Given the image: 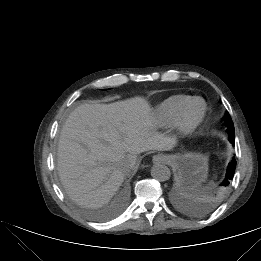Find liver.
Returning a JSON list of instances; mask_svg holds the SVG:
<instances>
[{"label": "liver", "instance_id": "1", "mask_svg": "<svg viewBox=\"0 0 261 261\" xmlns=\"http://www.w3.org/2000/svg\"><path fill=\"white\" fill-rule=\"evenodd\" d=\"M170 147V139L155 131L150 105L142 97L82 104L62 127L58 172L77 204L98 208L114 196L138 154Z\"/></svg>", "mask_w": 261, "mask_h": 261}]
</instances>
